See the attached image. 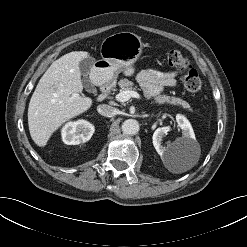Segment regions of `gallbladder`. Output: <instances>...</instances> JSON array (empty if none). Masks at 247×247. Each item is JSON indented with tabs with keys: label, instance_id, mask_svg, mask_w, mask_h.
Masks as SVG:
<instances>
[{
	"label": "gallbladder",
	"instance_id": "bac80fb5",
	"mask_svg": "<svg viewBox=\"0 0 247 247\" xmlns=\"http://www.w3.org/2000/svg\"><path fill=\"white\" fill-rule=\"evenodd\" d=\"M94 61H95L94 58L87 57L79 63L80 72L84 77L88 76V74L92 70ZM83 84L88 92L95 93L96 91L95 86L91 83V81L88 78L84 79Z\"/></svg>",
	"mask_w": 247,
	"mask_h": 247
}]
</instances>
